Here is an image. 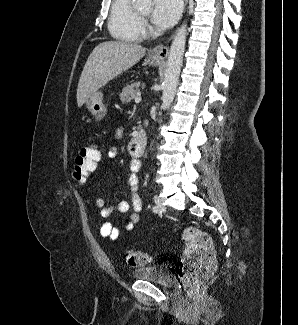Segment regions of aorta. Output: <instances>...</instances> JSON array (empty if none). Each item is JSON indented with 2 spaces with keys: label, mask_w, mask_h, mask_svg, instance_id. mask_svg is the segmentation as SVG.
I'll return each mask as SVG.
<instances>
[{
  "label": "aorta",
  "mask_w": 298,
  "mask_h": 325,
  "mask_svg": "<svg viewBox=\"0 0 298 325\" xmlns=\"http://www.w3.org/2000/svg\"><path fill=\"white\" fill-rule=\"evenodd\" d=\"M136 6H138V8H143V10L144 8H152L153 0H136ZM187 34V22L184 20L179 28H177L170 44L163 80L161 96L162 108H169L174 100L183 62Z\"/></svg>",
  "instance_id": "762f6f07"
}]
</instances>
